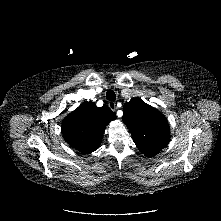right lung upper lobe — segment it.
<instances>
[{
    "label": "right lung upper lobe",
    "mask_w": 221,
    "mask_h": 221,
    "mask_svg": "<svg viewBox=\"0 0 221 221\" xmlns=\"http://www.w3.org/2000/svg\"><path fill=\"white\" fill-rule=\"evenodd\" d=\"M115 118L110 108L85 102L63 120L62 134L76 150L91 153L100 146L107 124Z\"/></svg>",
    "instance_id": "right-lung-upper-lobe-1"
}]
</instances>
